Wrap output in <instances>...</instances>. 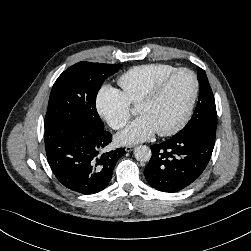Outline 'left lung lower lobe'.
<instances>
[{
  "instance_id": "left-lung-lower-lobe-1",
  "label": "left lung lower lobe",
  "mask_w": 251,
  "mask_h": 251,
  "mask_svg": "<svg viewBox=\"0 0 251 251\" xmlns=\"http://www.w3.org/2000/svg\"><path fill=\"white\" fill-rule=\"evenodd\" d=\"M215 134L195 130L151 147L152 157L144 170L153 188L168 193L191 185L206 168L214 148Z\"/></svg>"
}]
</instances>
